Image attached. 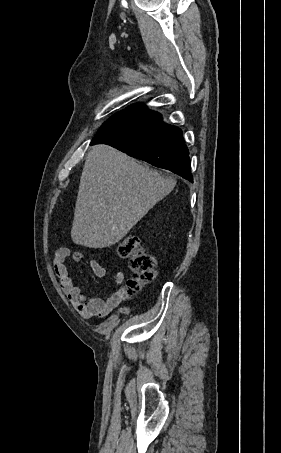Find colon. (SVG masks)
Listing matches in <instances>:
<instances>
[{
  "mask_svg": "<svg viewBox=\"0 0 281 453\" xmlns=\"http://www.w3.org/2000/svg\"><path fill=\"white\" fill-rule=\"evenodd\" d=\"M108 249L115 253L120 259L125 260L131 277L127 282L129 293L140 290L147 282L156 278V259L145 252L138 238H126L109 245ZM76 259H80L79 254H75Z\"/></svg>",
  "mask_w": 281,
  "mask_h": 453,
  "instance_id": "colon-1",
  "label": "colon"
}]
</instances>
